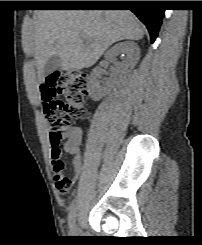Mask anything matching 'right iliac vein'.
<instances>
[{"mask_svg":"<svg viewBox=\"0 0 202 245\" xmlns=\"http://www.w3.org/2000/svg\"><path fill=\"white\" fill-rule=\"evenodd\" d=\"M70 234L73 236H81V232L76 224H74L70 229Z\"/></svg>","mask_w":202,"mask_h":245,"instance_id":"1","label":"right iliac vein"}]
</instances>
